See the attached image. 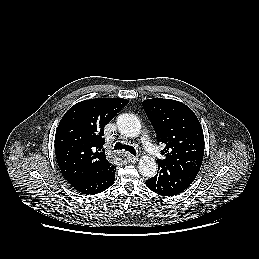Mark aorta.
<instances>
[{
	"label": "aorta",
	"instance_id": "obj_1",
	"mask_svg": "<svg viewBox=\"0 0 259 259\" xmlns=\"http://www.w3.org/2000/svg\"><path fill=\"white\" fill-rule=\"evenodd\" d=\"M119 132L125 137L134 138L140 134V120L133 114H120L117 117ZM139 172L145 177H153L157 171V163L153 158L144 156L139 161Z\"/></svg>",
	"mask_w": 259,
	"mask_h": 259
}]
</instances>
